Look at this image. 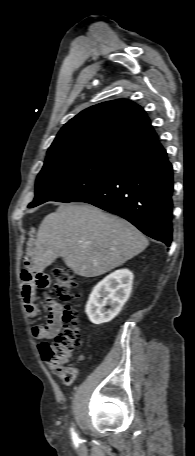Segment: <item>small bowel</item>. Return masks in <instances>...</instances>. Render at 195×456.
Instances as JSON below:
<instances>
[{
    "instance_id": "1",
    "label": "small bowel",
    "mask_w": 195,
    "mask_h": 456,
    "mask_svg": "<svg viewBox=\"0 0 195 456\" xmlns=\"http://www.w3.org/2000/svg\"><path fill=\"white\" fill-rule=\"evenodd\" d=\"M33 237L31 236L24 260V268L22 270V287L21 294L25 307L26 314L30 318L38 315V307L35 303V288L46 289L50 285V278L43 273H35L33 261ZM62 325L60 315V305L54 301L49 302V316L46 324L36 325L32 328V335L38 340H48L55 337L60 331Z\"/></svg>"
}]
</instances>
